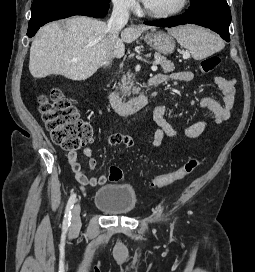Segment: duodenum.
Here are the masks:
<instances>
[{
    "label": "duodenum",
    "mask_w": 255,
    "mask_h": 272,
    "mask_svg": "<svg viewBox=\"0 0 255 272\" xmlns=\"http://www.w3.org/2000/svg\"><path fill=\"white\" fill-rule=\"evenodd\" d=\"M158 81L152 77L147 83L148 88L157 86ZM107 101L109 105L120 114H132L142 108H144L148 103V96L146 93H141L140 95L131 98L129 100H122L117 95L108 92L106 94Z\"/></svg>",
    "instance_id": "1"
}]
</instances>
